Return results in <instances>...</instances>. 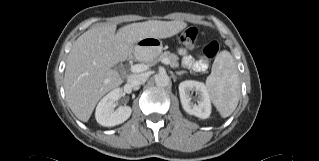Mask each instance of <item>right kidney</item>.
Here are the masks:
<instances>
[{
    "label": "right kidney",
    "instance_id": "obj_1",
    "mask_svg": "<svg viewBox=\"0 0 319 161\" xmlns=\"http://www.w3.org/2000/svg\"><path fill=\"white\" fill-rule=\"evenodd\" d=\"M120 99V89H114L101 99L96 107L95 118L99 124L112 127L125 122L131 115L129 106H120L114 109V104Z\"/></svg>",
    "mask_w": 319,
    "mask_h": 161
}]
</instances>
